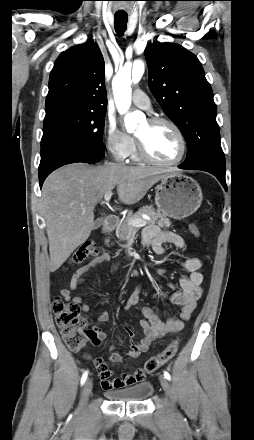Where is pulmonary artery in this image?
Listing matches in <instances>:
<instances>
[{
	"mask_svg": "<svg viewBox=\"0 0 254 440\" xmlns=\"http://www.w3.org/2000/svg\"><path fill=\"white\" fill-rule=\"evenodd\" d=\"M132 101L133 103L145 110H150L151 109V104H150V100L147 97V95L140 89H136L133 93L132 96Z\"/></svg>",
	"mask_w": 254,
	"mask_h": 440,
	"instance_id": "pulmonary-artery-1",
	"label": "pulmonary artery"
}]
</instances>
